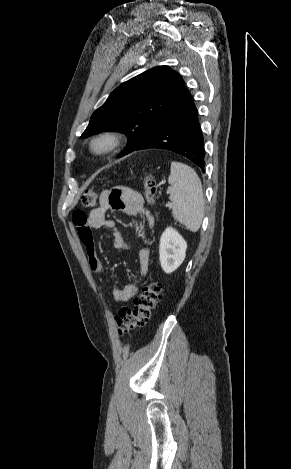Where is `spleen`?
Returning <instances> with one entry per match:
<instances>
[{"label":"spleen","instance_id":"1","mask_svg":"<svg viewBox=\"0 0 291 469\" xmlns=\"http://www.w3.org/2000/svg\"><path fill=\"white\" fill-rule=\"evenodd\" d=\"M168 182L174 219L188 230L198 231L204 217V196L197 173L186 164L172 162Z\"/></svg>","mask_w":291,"mask_h":469}]
</instances>
